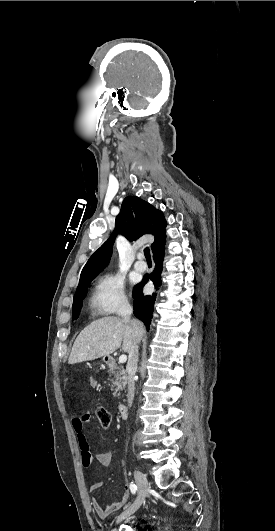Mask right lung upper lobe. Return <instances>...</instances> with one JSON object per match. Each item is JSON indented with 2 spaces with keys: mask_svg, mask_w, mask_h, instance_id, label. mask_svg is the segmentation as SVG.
Returning <instances> with one entry per match:
<instances>
[{
  "mask_svg": "<svg viewBox=\"0 0 275 531\" xmlns=\"http://www.w3.org/2000/svg\"><path fill=\"white\" fill-rule=\"evenodd\" d=\"M165 227L166 221L161 211L137 197H126L123 200L120 213L116 217V230L89 258L81 272L77 289L89 279L95 278L108 265L118 233L125 236L129 241L136 240L144 234L153 235L155 238L151 245L153 251L165 241Z\"/></svg>",
  "mask_w": 275,
  "mask_h": 531,
  "instance_id": "right-lung-upper-lobe-1",
  "label": "right lung upper lobe"
}]
</instances>
